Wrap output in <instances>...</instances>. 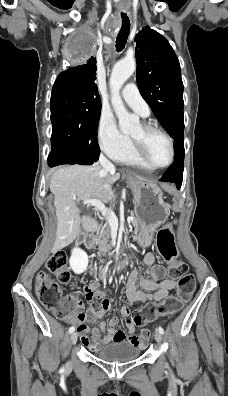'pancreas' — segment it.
<instances>
[{"label":"pancreas","mask_w":228,"mask_h":396,"mask_svg":"<svg viewBox=\"0 0 228 396\" xmlns=\"http://www.w3.org/2000/svg\"><path fill=\"white\" fill-rule=\"evenodd\" d=\"M129 218L132 220V224L135 227V233H134V240L137 239L135 238L137 235V231H138V224L136 221V217L133 214L129 215ZM110 237H111V227L109 225H106L102 228L100 234H99V238H98V246H99V250L101 252H109L111 250V244L110 242Z\"/></svg>","instance_id":"cf45deb5"}]
</instances>
